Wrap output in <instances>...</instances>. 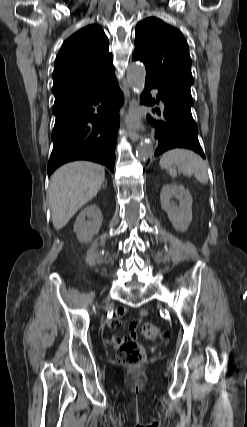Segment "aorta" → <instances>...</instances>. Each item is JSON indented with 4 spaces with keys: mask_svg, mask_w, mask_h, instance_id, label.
Listing matches in <instances>:
<instances>
[{
    "mask_svg": "<svg viewBox=\"0 0 247 427\" xmlns=\"http://www.w3.org/2000/svg\"><path fill=\"white\" fill-rule=\"evenodd\" d=\"M146 71L143 65L133 63L127 69V81L134 92L140 93L144 89ZM154 154V145L151 141L141 142L136 149L139 160H147Z\"/></svg>",
    "mask_w": 247,
    "mask_h": 427,
    "instance_id": "aorta-1",
    "label": "aorta"
}]
</instances>
